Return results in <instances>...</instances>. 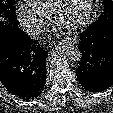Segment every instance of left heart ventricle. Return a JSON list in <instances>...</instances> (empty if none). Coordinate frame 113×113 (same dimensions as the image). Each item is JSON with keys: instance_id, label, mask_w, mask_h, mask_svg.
I'll return each instance as SVG.
<instances>
[{"instance_id": "b2bd125f", "label": "left heart ventricle", "mask_w": 113, "mask_h": 113, "mask_svg": "<svg viewBox=\"0 0 113 113\" xmlns=\"http://www.w3.org/2000/svg\"><path fill=\"white\" fill-rule=\"evenodd\" d=\"M86 3L87 0H65L59 10L58 23L66 27L78 21L83 15Z\"/></svg>"}]
</instances>
